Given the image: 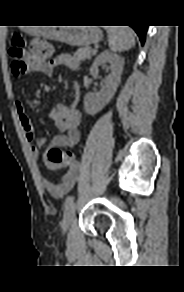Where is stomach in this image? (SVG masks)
<instances>
[{
    "instance_id": "1",
    "label": "stomach",
    "mask_w": 184,
    "mask_h": 292,
    "mask_svg": "<svg viewBox=\"0 0 184 292\" xmlns=\"http://www.w3.org/2000/svg\"><path fill=\"white\" fill-rule=\"evenodd\" d=\"M24 30L29 31V29ZM45 36L69 45L88 46L99 42L103 34L98 27H61L48 31Z\"/></svg>"
}]
</instances>
